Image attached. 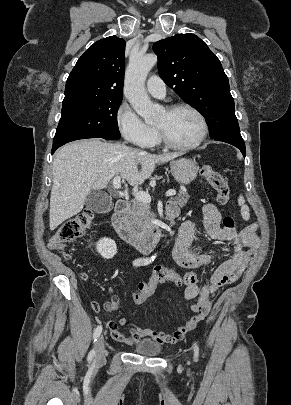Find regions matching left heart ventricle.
I'll list each match as a JSON object with an SVG mask.
<instances>
[{
	"instance_id": "left-heart-ventricle-1",
	"label": "left heart ventricle",
	"mask_w": 291,
	"mask_h": 405,
	"mask_svg": "<svg viewBox=\"0 0 291 405\" xmlns=\"http://www.w3.org/2000/svg\"><path fill=\"white\" fill-rule=\"evenodd\" d=\"M156 127L161 128L174 143L186 145L193 143L201 133L198 117L186 109L168 113L164 110L158 117Z\"/></svg>"
}]
</instances>
